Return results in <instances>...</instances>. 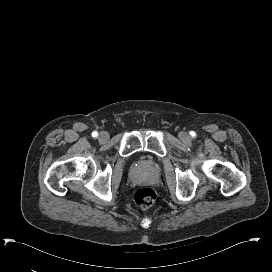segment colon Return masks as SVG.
Wrapping results in <instances>:
<instances>
[{
  "label": "colon",
  "instance_id": "colon-1",
  "mask_svg": "<svg viewBox=\"0 0 272 272\" xmlns=\"http://www.w3.org/2000/svg\"><path fill=\"white\" fill-rule=\"evenodd\" d=\"M134 203L141 209H146L154 204L156 193L150 187H142L135 191L133 195Z\"/></svg>",
  "mask_w": 272,
  "mask_h": 272
}]
</instances>
